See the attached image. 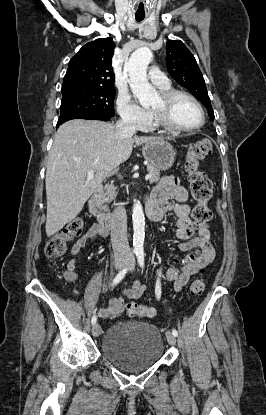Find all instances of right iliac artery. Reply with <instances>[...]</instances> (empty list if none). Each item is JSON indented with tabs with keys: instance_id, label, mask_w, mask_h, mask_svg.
Instances as JSON below:
<instances>
[{
	"instance_id": "obj_1",
	"label": "right iliac artery",
	"mask_w": 266,
	"mask_h": 415,
	"mask_svg": "<svg viewBox=\"0 0 266 415\" xmlns=\"http://www.w3.org/2000/svg\"><path fill=\"white\" fill-rule=\"evenodd\" d=\"M127 270H128V267H125L116 275V277L114 278V280L112 282L113 286L117 285L124 278V276L127 273ZM96 321H97V316L93 315V317L91 319V323L94 325L96 323Z\"/></svg>"
}]
</instances>
